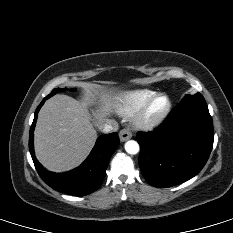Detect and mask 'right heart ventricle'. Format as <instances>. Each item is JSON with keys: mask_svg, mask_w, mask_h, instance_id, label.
Masks as SVG:
<instances>
[{"mask_svg": "<svg viewBox=\"0 0 233 233\" xmlns=\"http://www.w3.org/2000/svg\"><path fill=\"white\" fill-rule=\"evenodd\" d=\"M154 94L150 89H136L124 92L115 103V110L122 116H133Z\"/></svg>", "mask_w": 233, "mask_h": 233, "instance_id": "right-heart-ventricle-1", "label": "right heart ventricle"}]
</instances>
